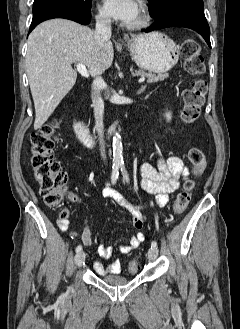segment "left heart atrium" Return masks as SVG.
<instances>
[{"instance_id": "39dd6f15", "label": "left heart atrium", "mask_w": 240, "mask_h": 329, "mask_svg": "<svg viewBox=\"0 0 240 329\" xmlns=\"http://www.w3.org/2000/svg\"><path fill=\"white\" fill-rule=\"evenodd\" d=\"M103 10L108 16L129 23L139 8L136 0H103Z\"/></svg>"}]
</instances>
